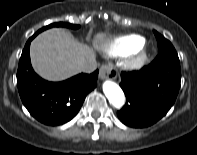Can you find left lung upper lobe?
<instances>
[{
    "label": "left lung upper lobe",
    "instance_id": "left-lung-upper-lobe-1",
    "mask_svg": "<svg viewBox=\"0 0 197 155\" xmlns=\"http://www.w3.org/2000/svg\"><path fill=\"white\" fill-rule=\"evenodd\" d=\"M154 34L158 42V56H178L175 48L170 43V41H168L166 38H164L161 34H159L156 31H154Z\"/></svg>",
    "mask_w": 197,
    "mask_h": 155
}]
</instances>
